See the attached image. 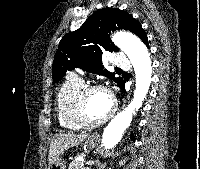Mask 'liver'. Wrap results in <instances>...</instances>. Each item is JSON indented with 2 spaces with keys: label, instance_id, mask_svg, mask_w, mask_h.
<instances>
[{
  "label": "liver",
  "instance_id": "6515ba94",
  "mask_svg": "<svg viewBox=\"0 0 200 169\" xmlns=\"http://www.w3.org/2000/svg\"><path fill=\"white\" fill-rule=\"evenodd\" d=\"M87 138V134L59 133L55 134L49 147L48 162L52 165L60 154L70 147L77 146Z\"/></svg>",
  "mask_w": 200,
  "mask_h": 169
}]
</instances>
